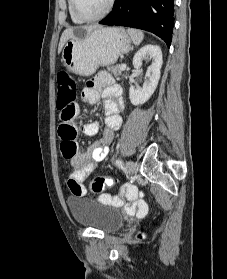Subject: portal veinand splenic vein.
<instances>
[{"mask_svg": "<svg viewBox=\"0 0 227 279\" xmlns=\"http://www.w3.org/2000/svg\"><path fill=\"white\" fill-rule=\"evenodd\" d=\"M126 69V64H124V63H122L121 65H120V70H125Z\"/></svg>", "mask_w": 227, "mask_h": 279, "instance_id": "18ae733b", "label": "portal vein and splenic vein"}]
</instances>
